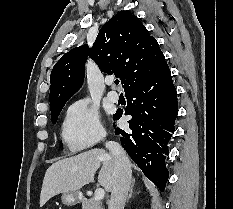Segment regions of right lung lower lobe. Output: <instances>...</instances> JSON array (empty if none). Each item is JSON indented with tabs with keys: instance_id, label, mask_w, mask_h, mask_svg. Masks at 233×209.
I'll use <instances>...</instances> for the list:
<instances>
[{
	"instance_id": "1",
	"label": "right lung lower lobe",
	"mask_w": 233,
	"mask_h": 209,
	"mask_svg": "<svg viewBox=\"0 0 233 209\" xmlns=\"http://www.w3.org/2000/svg\"><path fill=\"white\" fill-rule=\"evenodd\" d=\"M128 105L123 112L118 110L113 119L122 114L131 115L129 129H115L121 135L123 148L143 173L161 191L168 180L165 167L167 144L174 132L178 114L177 94L172 83L168 65L151 79L125 92Z\"/></svg>"
}]
</instances>
